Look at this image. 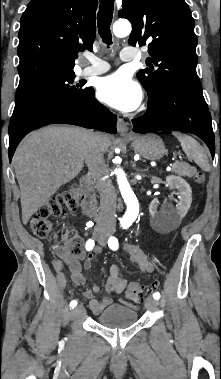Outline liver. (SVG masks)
<instances>
[{"label": "liver", "instance_id": "6515ba94", "mask_svg": "<svg viewBox=\"0 0 221 379\" xmlns=\"http://www.w3.org/2000/svg\"><path fill=\"white\" fill-rule=\"evenodd\" d=\"M89 133L78 127L48 126L21 141L13 165L21 192L23 224H27L62 185L80 173ZM98 141L102 152H106L109 137L98 134Z\"/></svg>", "mask_w": 221, "mask_h": 379}]
</instances>
